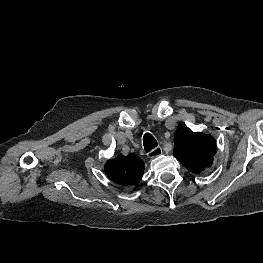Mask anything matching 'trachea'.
<instances>
[{
  "mask_svg": "<svg viewBox=\"0 0 263 263\" xmlns=\"http://www.w3.org/2000/svg\"><path fill=\"white\" fill-rule=\"evenodd\" d=\"M143 145L145 151L148 153L156 148L158 144L156 139L150 133H145L143 136Z\"/></svg>",
  "mask_w": 263,
  "mask_h": 263,
  "instance_id": "obj_1",
  "label": "trachea"
}]
</instances>
